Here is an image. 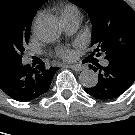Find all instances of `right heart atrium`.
Wrapping results in <instances>:
<instances>
[{
  "mask_svg": "<svg viewBox=\"0 0 135 135\" xmlns=\"http://www.w3.org/2000/svg\"><path fill=\"white\" fill-rule=\"evenodd\" d=\"M42 16H43L42 12L37 14V16L35 18V22H34V29L36 28V26H37L38 22L40 21V19L42 18Z\"/></svg>",
  "mask_w": 135,
  "mask_h": 135,
  "instance_id": "d8ad5b80",
  "label": "right heart atrium"
}]
</instances>
